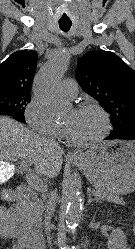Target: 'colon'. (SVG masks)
Segmentation results:
<instances>
[{"label": "colon", "instance_id": "colon-1", "mask_svg": "<svg viewBox=\"0 0 135 249\" xmlns=\"http://www.w3.org/2000/svg\"><path fill=\"white\" fill-rule=\"evenodd\" d=\"M132 233L135 236V224L132 226Z\"/></svg>", "mask_w": 135, "mask_h": 249}]
</instances>
